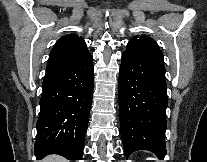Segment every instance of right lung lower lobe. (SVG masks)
<instances>
[{
	"label": "right lung lower lobe",
	"instance_id": "1",
	"mask_svg": "<svg viewBox=\"0 0 207 162\" xmlns=\"http://www.w3.org/2000/svg\"><path fill=\"white\" fill-rule=\"evenodd\" d=\"M93 64L89 55L46 72L36 124L35 156L59 154L82 160L92 103Z\"/></svg>",
	"mask_w": 207,
	"mask_h": 162
}]
</instances>
